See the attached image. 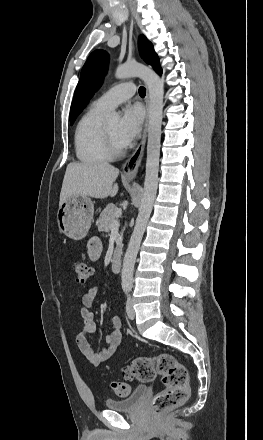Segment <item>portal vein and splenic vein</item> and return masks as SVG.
<instances>
[{
	"label": "portal vein and splenic vein",
	"mask_w": 263,
	"mask_h": 440,
	"mask_svg": "<svg viewBox=\"0 0 263 440\" xmlns=\"http://www.w3.org/2000/svg\"><path fill=\"white\" fill-rule=\"evenodd\" d=\"M120 216H121V210H119V211L116 212V218H118V217H120ZM118 225H119L118 221H117V220H114V222H113L112 225H111V228H116V227H118Z\"/></svg>",
	"instance_id": "18ae733b"
}]
</instances>
